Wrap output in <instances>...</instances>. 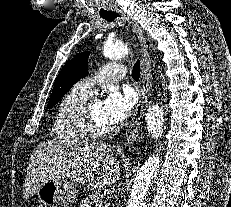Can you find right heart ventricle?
Masks as SVG:
<instances>
[{"label": "right heart ventricle", "instance_id": "1", "mask_svg": "<svg viewBox=\"0 0 231 207\" xmlns=\"http://www.w3.org/2000/svg\"><path fill=\"white\" fill-rule=\"evenodd\" d=\"M88 99V93L75 85L61 100L54 117L53 135L66 142H80L89 136L82 129L79 111Z\"/></svg>", "mask_w": 231, "mask_h": 207}]
</instances>
